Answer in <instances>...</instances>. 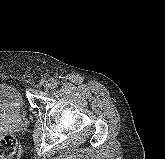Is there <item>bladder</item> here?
Segmentation results:
<instances>
[{"label":"bladder","mask_w":165,"mask_h":159,"mask_svg":"<svg viewBox=\"0 0 165 159\" xmlns=\"http://www.w3.org/2000/svg\"><path fill=\"white\" fill-rule=\"evenodd\" d=\"M26 108V101L21 90L10 83H0V114L17 116Z\"/></svg>","instance_id":"1"}]
</instances>
